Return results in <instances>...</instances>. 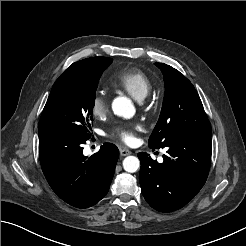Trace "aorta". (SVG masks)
<instances>
[{
    "label": "aorta",
    "mask_w": 246,
    "mask_h": 246,
    "mask_svg": "<svg viewBox=\"0 0 246 246\" xmlns=\"http://www.w3.org/2000/svg\"><path fill=\"white\" fill-rule=\"evenodd\" d=\"M112 110L117 116L126 119L132 118L136 111L132 101L125 96H119L113 100ZM139 167L140 161L135 156H128L123 160V168L129 173L136 172Z\"/></svg>",
    "instance_id": "aorta-1"
}]
</instances>
